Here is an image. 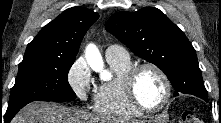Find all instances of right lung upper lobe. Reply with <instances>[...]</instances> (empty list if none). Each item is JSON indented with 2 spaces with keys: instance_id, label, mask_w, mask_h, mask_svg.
<instances>
[{
  "instance_id": "cb5924a9",
  "label": "right lung upper lobe",
  "mask_w": 221,
  "mask_h": 123,
  "mask_svg": "<svg viewBox=\"0 0 221 123\" xmlns=\"http://www.w3.org/2000/svg\"><path fill=\"white\" fill-rule=\"evenodd\" d=\"M99 14L84 7L65 10L42 28L26 48L24 56L75 57L81 41Z\"/></svg>"
}]
</instances>
